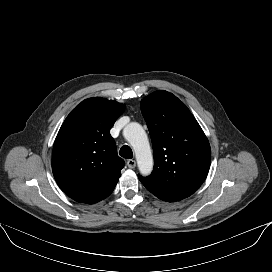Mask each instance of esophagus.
<instances>
[{"instance_id":"esophagus-1","label":"esophagus","mask_w":272,"mask_h":272,"mask_svg":"<svg viewBox=\"0 0 272 272\" xmlns=\"http://www.w3.org/2000/svg\"><path fill=\"white\" fill-rule=\"evenodd\" d=\"M127 166H128L130 169L135 168V166H136V161L133 160V159H129V160L127 161Z\"/></svg>"}]
</instances>
